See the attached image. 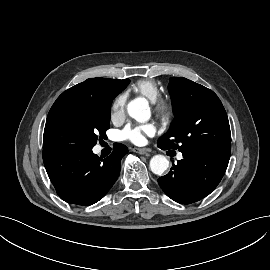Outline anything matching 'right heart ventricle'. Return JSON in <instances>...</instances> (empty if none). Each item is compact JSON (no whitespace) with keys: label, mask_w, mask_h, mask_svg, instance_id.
<instances>
[{"label":"right heart ventricle","mask_w":270,"mask_h":270,"mask_svg":"<svg viewBox=\"0 0 270 270\" xmlns=\"http://www.w3.org/2000/svg\"><path fill=\"white\" fill-rule=\"evenodd\" d=\"M133 89L151 102H154L161 95V88L153 79L138 80L134 84Z\"/></svg>","instance_id":"1"}]
</instances>
